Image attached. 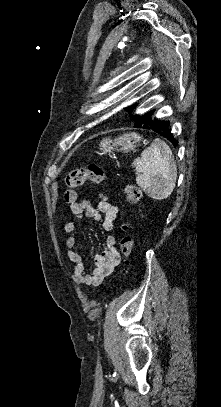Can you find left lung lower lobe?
I'll return each instance as SVG.
<instances>
[{
    "label": "left lung lower lobe",
    "instance_id": "left-lung-lower-lobe-1",
    "mask_svg": "<svg viewBox=\"0 0 221 407\" xmlns=\"http://www.w3.org/2000/svg\"><path fill=\"white\" fill-rule=\"evenodd\" d=\"M153 113L154 110L136 115V118L134 119V127L153 130L161 136L167 138L174 146H176L178 141L174 139L173 134L170 132V122L159 120L156 117L153 118Z\"/></svg>",
    "mask_w": 221,
    "mask_h": 407
}]
</instances>
